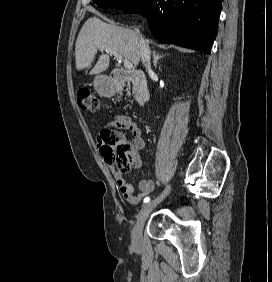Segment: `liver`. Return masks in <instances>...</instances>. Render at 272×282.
Masks as SVG:
<instances>
[{
  "label": "liver",
  "instance_id": "1",
  "mask_svg": "<svg viewBox=\"0 0 272 282\" xmlns=\"http://www.w3.org/2000/svg\"><path fill=\"white\" fill-rule=\"evenodd\" d=\"M145 42L147 45L149 44L148 40ZM100 45L117 51L125 60L132 62L135 66L139 64L141 50L139 36L135 31L105 23L97 17H91L84 23L76 40L77 70L91 68ZM109 62V56L102 54L90 74L104 72L108 68Z\"/></svg>",
  "mask_w": 272,
  "mask_h": 282
}]
</instances>
